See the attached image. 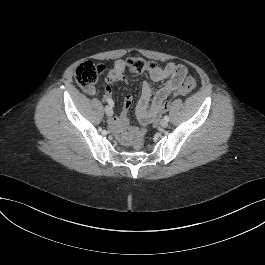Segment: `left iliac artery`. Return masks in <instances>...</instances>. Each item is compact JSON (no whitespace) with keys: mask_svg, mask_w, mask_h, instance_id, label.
<instances>
[{"mask_svg":"<svg viewBox=\"0 0 265 265\" xmlns=\"http://www.w3.org/2000/svg\"><path fill=\"white\" fill-rule=\"evenodd\" d=\"M164 119H165L166 121H169V120H170L169 116H164Z\"/></svg>","mask_w":265,"mask_h":265,"instance_id":"44dca946","label":"left iliac artery"}]
</instances>
